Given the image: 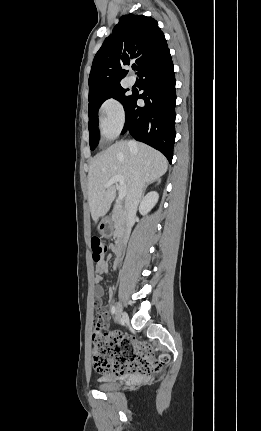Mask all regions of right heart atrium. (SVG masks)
Masks as SVG:
<instances>
[{
  "mask_svg": "<svg viewBox=\"0 0 261 431\" xmlns=\"http://www.w3.org/2000/svg\"><path fill=\"white\" fill-rule=\"evenodd\" d=\"M99 121L106 137L117 136L125 122V111L121 102L115 98L106 99L99 108Z\"/></svg>",
  "mask_w": 261,
  "mask_h": 431,
  "instance_id": "right-heart-atrium-1",
  "label": "right heart atrium"
}]
</instances>
